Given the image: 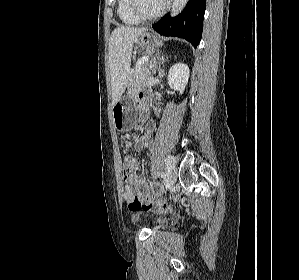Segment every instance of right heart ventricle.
<instances>
[{"label":"right heart ventricle","mask_w":299,"mask_h":280,"mask_svg":"<svg viewBox=\"0 0 299 280\" xmlns=\"http://www.w3.org/2000/svg\"><path fill=\"white\" fill-rule=\"evenodd\" d=\"M117 14L122 23L126 25H137L140 20L137 19L130 11L129 0H118Z\"/></svg>","instance_id":"e07e8e85"}]
</instances>
